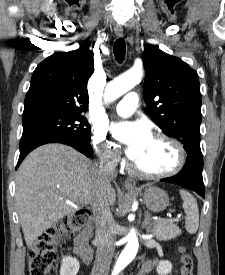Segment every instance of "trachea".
<instances>
[{
    "label": "trachea",
    "instance_id": "trachea-1",
    "mask_svg": "<svg viewBox=\"0 0 225 275\" xmlns=\"http://www.w3.org/2000/svg\"><path fill=\"white\" fill-rule=\"evenodd\" d=\"M126 44L123 38L117 39L114 44V55L119 63L125 59Z\"/></svg>",
    "mask_w": 225,
    "mask_h": 275
}]
</instances>
